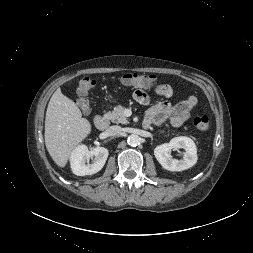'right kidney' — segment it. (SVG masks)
<instances>
[{"label": "right kidney", "instance_id": "ca27d5eb", "mask_svg": "<svg viewBox=\"0 0 253 253\" xmlns=\"http://www.w3.org/2000/svg\"><path fill=\"white\" fill-rule=\"evenodd\" d=\"M108 154V150L104 147L88 150L87 146L80 145L75 148L70 157L72 172L77 176L95 174L105 165ZM92 157H94L93 163L86 164V161Z\"/></svg>", "mask_w": 253, "mask_h": 253}]
</instances>
